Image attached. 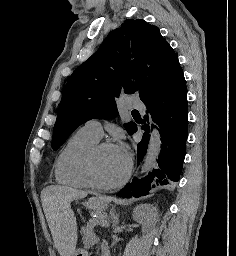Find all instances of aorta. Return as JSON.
<instances>
[{
	"instance_id": "obj_1",
	"label": "aorta",
	"mask_w": 236,
	"mask_h": 256,
	"mask_svg": "<svg viewBox=\"0 0 236 256\" xmlns=\"http://www.w3.org/2000/svg\"><path fill=\"white\" fill-rule=\"evenodd\" d=\"M161 152V136L158 130L154 129L150 134V140L141 173L145 174L151 171L155 165Z\"/></svg>"
}]
</instances>
